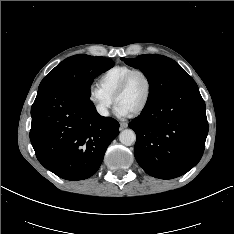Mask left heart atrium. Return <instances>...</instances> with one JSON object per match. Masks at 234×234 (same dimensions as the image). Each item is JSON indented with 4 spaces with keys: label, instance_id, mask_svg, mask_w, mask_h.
Listing matches in <instances>:
<instances>
[{
    "label": "left heart atrium",
    "instance_id": "left-heart-atrium-1",
    "mask_svg": "<svg viewBox=\"0 0 234 234\" xmlns=\"http://www.w3.org/2000/svg\"><path fill=\"white\" fill-rule=\"evenodd\" d=\"M115 112L120 117H124V116H127L128 114H130L129 112H127L125 109H123L120 106H116Z\"/></svg>",
    "mask_w": 234,
    "mask_h": 234
}]
</instances>
